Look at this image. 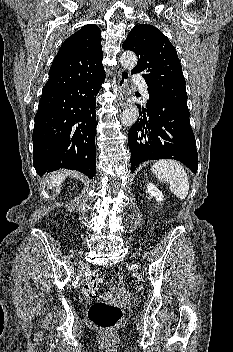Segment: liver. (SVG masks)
<instances>
[{
	"label": "liver",
	"instance_id": "liver-1",
	"mask_svg": "<svg viewBox=\"0 0 233 352\" xmlns=\"http://www.w3.org/2000/svg\"><path fill=\"white\" fill-rule=\"evenodd\" d=\"M67 175H68V173L64 172L62 170H60L56 173H52L49 176V179L47 180L48 187L53 188V187L60 185L64 181V179Z\"/></svg>",
	"mask_w": 233,
	"mask_h": 352
}]
</instances>
